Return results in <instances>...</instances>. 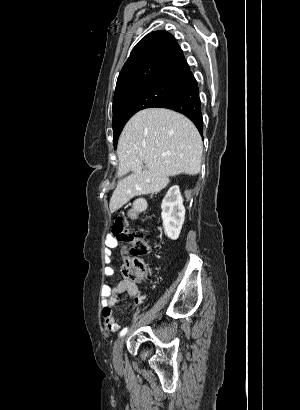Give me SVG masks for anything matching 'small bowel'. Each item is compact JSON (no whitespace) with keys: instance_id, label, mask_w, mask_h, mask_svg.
<instances>
[{"instance_id":"small-bowel-1","label":"small bowel","mask_w":300,"mask_h":410,"mask_svg":"<svg viewBox=\"0 0 300 410\" xmlns=\"http://www.w3.org/2000/svg\"><path fill=\"white\" fill-rule=\"evenodd\" d=\"M105 244L108 249L116 248L118 246V242L112 235L107 236ZM121 253L125 254L126 250L122 248ZM114 270L113 261L108 256V265L105 269L106 277L110 278L114 274ZM101 294L104 298L102 302V317L110 331H115L119 327L115 320L113 309L119 302L121 295L126 294L128 296L136 297L133 309L138 308L145 298V293L138 288V282L128 280H120L114 287L110 286L108 282H105L102 286Z\"/></svg>"}]
</instances>
